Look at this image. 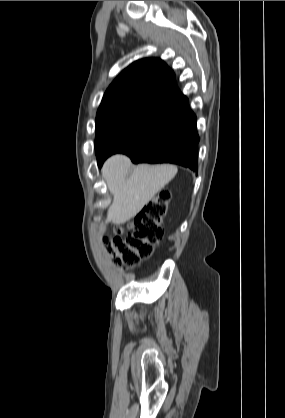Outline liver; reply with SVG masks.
Listing matches in <instances>:
<instances>
[{"label": "liver", "instance_id": "liver-1", "mask_svg": "<svg viewBox=\"0 0 285 418\" xmlns=\"http://www.w3.org/2000/svg\"><path fill=\"white\" fill-rule=\"evenodd\" d=\"M131 169L130 159L122 154L111 156L102 167L113 202L106 221L124 224L135 217L142 208L176 175L174 165L141 164Z\"/></svg>", "mask_w": 285, "mask_h": 418}]
</instances>
